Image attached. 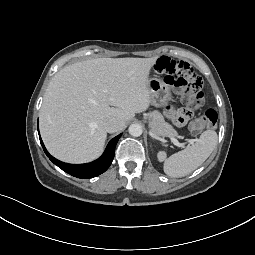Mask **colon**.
Wrapping results in <instances>:
<instances>
[{
    "instance_id": "colon-1",
    "label": "colon",
    "mask_w": 255,
    "mask_h": 255,
    "mask_svg": "<svg viewBox=\"0 0 255 255\" xmlns=\"http://www.w3.org/2000/svg\"><path fill=\"white\" fill-rule=\"evenodd\" d=\"M156 70L165 75L166 82L182 91V98L188 108H197L204 102L202 78L186 62L169 57L160 58ZM218 119L214 109H207L198 115L189 125L193 134H199L204 129L213 127Z\"/></svg>"
}]
</instances>
